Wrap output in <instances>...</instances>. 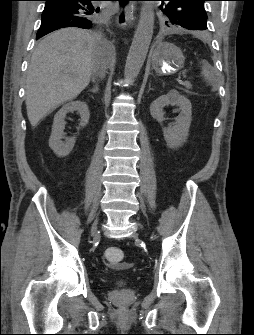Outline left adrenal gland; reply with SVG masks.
Here are the masks:
<instances>
[{"instance_id": "obj_1", "label": "left adrenal gland", "mask_w": 254, "mask_h": 335, "mask_svg": "<svg viewBox=\"0 0 254 335\" xmlns=\"http://www.w3.org/2000/svg\"><path fill=\"white\" fill-rule=\"evenodd\" d=\"M152 88H151V84L149 83V88H148V92L151 91Z\"/></svg>"}]
</instances>
